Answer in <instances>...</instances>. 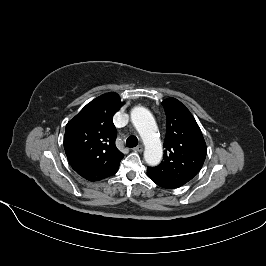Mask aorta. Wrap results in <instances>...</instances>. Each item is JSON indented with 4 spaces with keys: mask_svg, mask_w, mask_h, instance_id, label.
Instances as JSON below:
<instances>
[{
    "mask_svg": "<svg viewBox=\"0 0 266 266\" xmlns=\"http://www.w3.org/2000/svg\"><path fill=\"white\" fill-rule=\"evenodd\" d=\"M131 121L144 142L146 163L150 166L159 164L163 150L152 114L144 107H135L131 111Z\"/></svg>",
    "mask_w": 266,
    "mask_h": 266,
    "instance_id": "762f6f07",
    "label": "aorta"
}]
</instances>
